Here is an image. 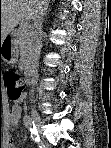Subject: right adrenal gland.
Here are the masks:
<instances>
[{
	"label": "right adrenal gland",
	"mask_w": 111,
	"mask_h": 148,
	"mask_svg": "<svg viewBox=\"0 0 111 148\" xmlns=\"http://www.w3.org/2000/svg\"><path fill=\"white\" fill-rule=\"evenodd\" d=\"M47 9H48V6L46 7V10H47ZM47 12H48V11H45V12H44V15H47Z\"/></svg>",
	"instance_id": "1"
}]
</instances>
